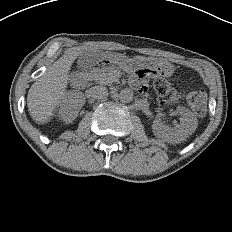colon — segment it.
Returning a JSON list of instances; mask_svg holds the SVG:
<instances>
[{"instance_id":"colon-1","label":"colon","mask_w":232,"mask_h":232,"mask_svg":"<svg viewBox=\"0 0 232 232\" xmlns=\"http://www.w3.org/2000/svg\"><path fill=\"white\" fill-rule=\"evenodd\" d=\"M154 87L157 94L161 98L170 100L176 99V92L170 81L162 74L158 73L154 76ZM188 102L198 115H204L206 111V93L200 88L192 89L188 93Z\"/></svg>"}]
</instances>
